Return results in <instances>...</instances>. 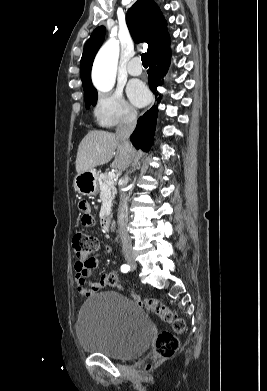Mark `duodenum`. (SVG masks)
Returning <instances> with one entry per match:
<instances>
[{
	"instance_id": "duodenum-1",
	"label": "duodenum",
	"mask_w": 267,
	"mask_h": 391,
	"mask_svg": "<svg viewBox=\"0 0 267 391\" xmlns=\"http://www.w3.org/2000/svg\"><path fill=\"white\" fill-rule=\"evenodd\" d=\"M100 223H101V227L103 228V230L109 231L110 228H111V216H110V214L109 213H103L101 215Z\"/></svg>"
}]
</instances>
